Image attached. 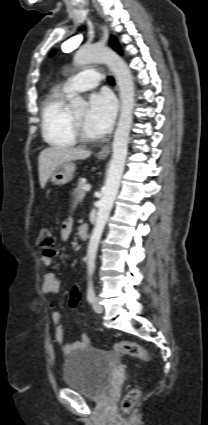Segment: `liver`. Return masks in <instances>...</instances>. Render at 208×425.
Listing matches in <instances>:
<instances>
[{
  "mask_svg": "<svg viewBox=\"0 0 208 425\" xmlns=\"http://www.w3.org/2000/svg\"><path fill=\"white\" fill-rule=\"evenodd\" d=\"M91 151L66 146H53L44 149L39 155V181L44 188L53 171L62 163L84 160Z\"/></svg>",
  "mask_w": 208,
  "mask_h": 425,
  "instance_id": "obj_1",
  "label": "liver"
}]
</instances>
